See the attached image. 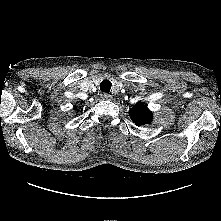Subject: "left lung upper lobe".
<instances>
[{
	"label": "left lung upper lobe",
	"instance_id": "obj_1",
	"mask_svg": "<svg viewBox=\"0 0 221 221\" xmlns=\"http://www.w3.org/2000/svg\"><path fill=\"white\" fill-rule=\"evenodd\" d=\"M130 117L136 125L140 126L143 124H150L153 114L140 102L130 109Z\"/></svg>",
	"mask_w": 221,
	"mask_h": 221
}]
</instances>
